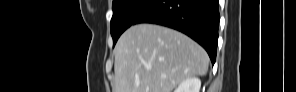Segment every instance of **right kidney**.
<instances>
[{
  "instance_id": "right-kidney-1",
  "label": "right kidney",
  "mask_w": 296,
  "mask_h": 92,
  "mask_svg": "<svg viewBox=\"0 0 296 92\" xmlns=\"http://www.w3.org/2000/svg\"><path fill=\"white\" fill-rule=\"evenodd\" d=\"M201 80L197 77H190L183 80L174 92H199Z\"/></svg>"
}]
</instances>
